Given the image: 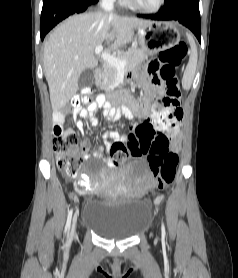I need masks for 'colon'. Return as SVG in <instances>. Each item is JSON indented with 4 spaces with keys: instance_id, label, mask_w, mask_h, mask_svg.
<instances>
[{
    "instance_id": "obj_1",
    "label": "colon",
    "mask_w": 238,
    "mask_h": 278,
    "mask_svg": "<svg viewBox=\"0 0 238 278\" xmlns=\"http://www.w3.org/2000/svg\"><path fill=\"white\" fill-rule=\"evenodd\" d=\"M187 55V45L179 42L174 47L166 49L159 54L163 69L159 76H163L165 91L162 97L153 102V126L157 127V134H162L172 126L173 107L179 94L176 73ZM93 90L85 87L72 98V106L80 108L85 106L87 110L93 111L95 103L92 100ZM146 127V126H143ZM153 137H140L139 142L130 144H114L110 149L112 162L115 165L123 163L129 156H146L157 181L158 189L168 188L174 181L176 167L178 165V154L170 151V144H152ZM54 151L57 155L58 167L72 177L79 174L82 161V147L74 132H57L53 140ZM162 196L156 200L161 201Z\"/></svg>"
}]
</instances>
